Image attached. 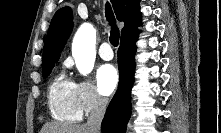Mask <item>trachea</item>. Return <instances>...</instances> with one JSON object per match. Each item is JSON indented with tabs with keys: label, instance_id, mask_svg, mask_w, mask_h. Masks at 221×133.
I'll use <instances>...</instances> for the list:
<instances>
[{
	"label": "trachea",
	"instance_id": "3493384b",
	"mask_svg": "<svg viewBox=\"0 0 221 133\" xmlns=\"http://www.w3.org/2000/svg\"><path fill=\"white\" fill-rule=\"evenodd\" d=\"M105 12H106L107 20L109 21V23L112 27L110 37H109V41L113 46L116 47L119 44V30L116 27V20H115L113 11L111 9V6L108 2L106 3Z\"/></svg>",
	"mask_w": 221,
	"mask_h": 133
}]
</instances>
